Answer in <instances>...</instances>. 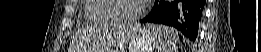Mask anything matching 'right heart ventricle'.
I'll return each instance as SVG.
<instances>
[{"label":"right heart ventricle","mask_w":261,"mask_h":52,"mask_svg":"<svg viewBox=\"0 0 261 52\" xmlns=\"http://www.w3.org/2000/svg\"><path fill=\"white\" fill-rule=\"evenodd\" d=\"M112 0H86L84 6L85 19L93 24H114L117 21L114 19L111 10Z\"/></svg>","instance_id":"1"}]
</instances>
